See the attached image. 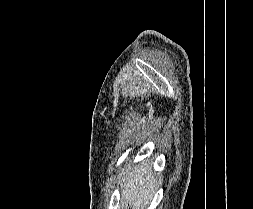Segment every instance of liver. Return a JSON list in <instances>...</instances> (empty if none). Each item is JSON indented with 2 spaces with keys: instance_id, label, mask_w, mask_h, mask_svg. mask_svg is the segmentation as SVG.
Segmentation results:
<instances>
[{
  "instance_id": "obj_1",
  "label": "liver",
  "mask_w": 253,
  "mask_h": 209,
  "mask_svg": "<svg viewBox=\"0 0 253 209\" xmlns=\"http://www.w3.org/2000/svg\"><path fill=\"white\" fill-rule=\"evenodd\" d=\"M121 198L131 209H145L156 192L157 181L149 163L136 165L122 180Z\"/></svg>"
}]
</instances>
